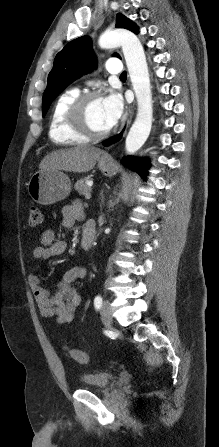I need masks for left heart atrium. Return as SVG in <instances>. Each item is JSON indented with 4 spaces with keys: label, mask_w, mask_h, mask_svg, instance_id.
Returning a JSON list of instances; mask_svg holds the SVG:
<instances>
[{
    "label": "left heart atrium",
    "mask_w": 219,
    "mask_h": 447,
    "mask_svg": "<svg viewBox=\"0 0 219 447\" xmlns=\"http://www.w3.org/2000/svg\"><path fill=\"white\" fill-rule=\"evenodd\" d=\"M102 105L109 127L117 124L124 111L123 100L117 93H111L102 99Z\"/></svg>",
    "instance_id": "1"
}]
</instances>
